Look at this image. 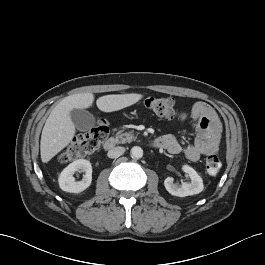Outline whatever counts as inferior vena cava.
<instances>
[{
  "label": "inferior vena cava",
  "mask_w": 265,
  "mask_h": 265,
  "mask_svg": "<svg viewBox=\"0 0 265 265\" xmlns=\"http://www.w3.org/2000/svg\"><path fill=\"white\" fill-rule=\"evenodd\" d=\"M124 152H125V148L124 147H115V148L109 150L107 155H108L109 158H118Z\"/></svg>",
  "instance_id": "obj_1"
}]
</instances>
